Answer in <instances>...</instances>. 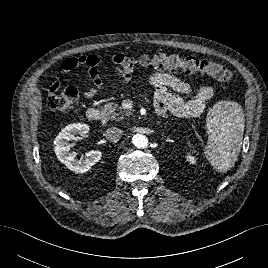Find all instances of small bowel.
Listing matches in <instances>:
<instances>
[{"label":"small bowel","mask_w":268,"mask_h":268,"mask_svg":"<svg viewBox=\"0 0 268 268\" xmlns=\"http://www.w3.org/2000/svg\"><path fill=\"white\" fill-rule=\"evenodd\" d=\"M121 54L114 56L112 62L123 83H129L133 79V67L122 69L118 66ZM78 65H84L92 80V85L84 92L86 99H92L103 91L101 78V61L98 56H80L68 58L61 63L62 73L74 70ZM149 82L154 88V102L161 111H169L180 118L198 117L206 109L207 104L214 98L215 91L209 85H203L193 90L190 84L167 72L156 71L149 77ZM58 83H53L50 91H54ZM194 93V97L184 100L182 96Z\"/></svg>","instance_id":"c3829d8e"}]
</instances>
